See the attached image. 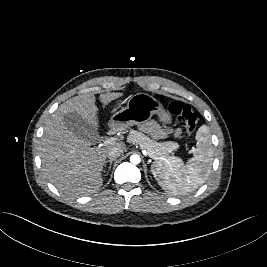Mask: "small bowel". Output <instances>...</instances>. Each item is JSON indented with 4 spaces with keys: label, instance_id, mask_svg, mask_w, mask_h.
Instances as JSON below:
<instances>
[{
    "label": "small bowel",
    "instance_id": "obj_1",
    "mask_svg": "<svg viewBox=\"0 0 267 267\" xmlns=\"http://www.w3.org/2000/svg\"><path fill=\"white\" fill-rule=\"evenodd\" d=\"M142 129L147 133L153 135L156 138H163L166 135V132L160 128V126L155 122H147L142 126ZM176 136L180 134L179 130L174 132Z\"/></svg>",
    "mask_w": 267,
    "mask_h": 267
}]
</instances>
